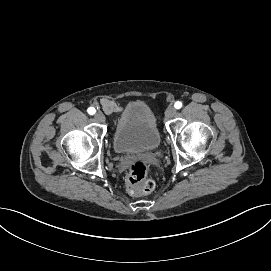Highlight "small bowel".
<instances>
[{
    "instance_id": "1",
    "label": "small bowel",
    "mask_w": 271,
    "mask_h": 271,
    "mask_svg": "<svg viewBox=\"0 0 271 271\" xmlns=\"http://www.w3.org/2000/svg\"><path fill=\"white\" fill-rule=\"evenodd\" d=\"M101 106L109 115L119 113L122 110V107L118 103L107 98L101 100Z\"/></svg>"
}]
</instances>
